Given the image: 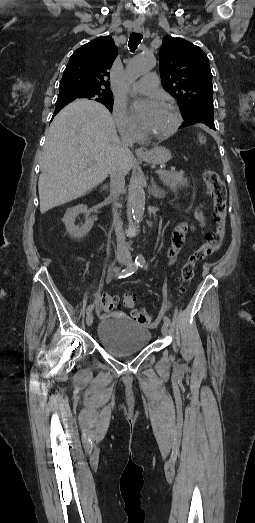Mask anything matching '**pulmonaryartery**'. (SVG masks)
<instances>
[{"label": "pulmonary artery", "instance_id": "pulmonary-artery-1", "mask_svg": "<svg viewBox=\"0 0 255 523\" xmlns=\"http://www.w3.org/2000/svg\"><path fill=\"white\" fill-rule=\"evenodd\" d=\"M135 89L138 92H143L144 96L147 98H150L153 95L158 96L162 92V89L158 84L157 75L153 71L148 72L147 75L141 76Z\"/></svg>", "mask_w": 255, "mask_h": 523}]
</instances>
